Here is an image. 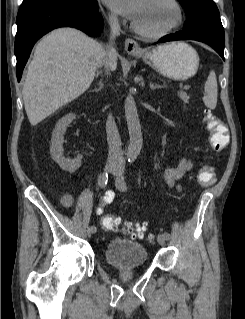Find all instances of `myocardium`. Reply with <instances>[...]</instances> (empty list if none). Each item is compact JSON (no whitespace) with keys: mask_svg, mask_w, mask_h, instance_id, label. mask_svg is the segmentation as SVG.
Listing matches in <instances>:
<instances>
[{"mask_svg":"<svg viewBox=\"0 0 245 319\" xmlns=\"http://www.w3.org/2000/svg\"><path fill=\"white\" fill-rule=\"evenodd\" d=\"M168 2L173 6L176 12V18L172 24L159 30H147L140 27L135 21H133L131 24L133 30L139 35L147 38H160L176 30L183 22V8L178 0H168Z\"/></svg>","mask_w":245,"mask_h":319,"instance_id":"1","label":"myocardium"}]
</instances>
